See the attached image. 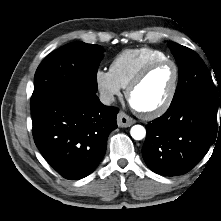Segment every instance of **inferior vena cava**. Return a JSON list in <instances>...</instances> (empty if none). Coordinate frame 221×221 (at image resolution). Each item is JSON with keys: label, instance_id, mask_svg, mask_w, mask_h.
I'll list each match as a JSON object with an SVG mask.
<instances>
[{"label": "inferior vena cava", "instance_id": "inferior-vena-cava-1", "mask_svg": "<svg viewBox=\"0 0 221 221\" xmlns=\"http://www.w3.org/2000/svg\"><path fill=\"white\" fill-rule=\"evenodd\" d=\"M99 99L104 105H110L115 101L113 94L110 92H101Z\"/></svg>", "mask_w": 221, "mask_h": 221}]
</instances>
